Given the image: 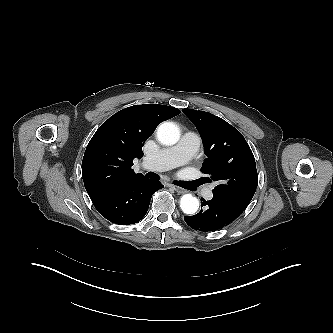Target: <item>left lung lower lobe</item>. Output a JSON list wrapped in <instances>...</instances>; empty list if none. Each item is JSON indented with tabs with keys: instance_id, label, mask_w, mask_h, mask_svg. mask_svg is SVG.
<instances>
[{
	"instance_id": "0a47b994",
	"label": "left lung lower lobe",
	"mask_w": 333,
	"mask_h": 333,
	"mask_svg": "<svg viewBox=\"0 0 333 333\" xmlns=\"http://www.w3.org/2000/svg\"><path fill=\"white\" fill-rule=\"evenodd\" d=\"M202 206L205 210L201 208L198 214L184 217L191 228L202 232L219 230L243 213V210L216 195L210 201L203 200Z\"/></svg>"
}]
</instances>
